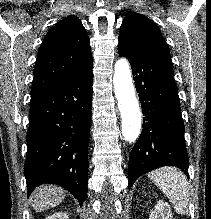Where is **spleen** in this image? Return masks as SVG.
<instances>
[{"instance_id":"spleen-1","label":"spleen","mask_w":211,"mask_h":219,"mask_svg":"<svg viewBox=\"0 0 211 219\" xmlns=\"http://www.w3.org/2000/svg\"><path fill=\"white\" fill-rule=\"evenodd\" d=\"M148 177L167 196L178 214H185L189 201L186 176L176 168L166 167L151 172Z\"/></svg>"}]
</instances>
